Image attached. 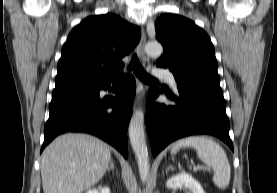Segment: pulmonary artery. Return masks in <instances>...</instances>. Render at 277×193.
Segmentation results:
<instances>
[{
	"label": "pulmonary artery",
	"instance_id": "e3ab8cb5",
	"mask_svg": "<svg viewBox=\"0 0 277 193\" xmlns=\"http://www.w3.org/2000/svg\"><path fill=\"white\" fill-rule=\"evenodd\" d=\"M155 75L165 79L172 87L176 88L177 82L172 72L158 69L155 71Z\"/></svg>",
	"mask_w": 277,
	"mask_h": 193
}]
</instances>
